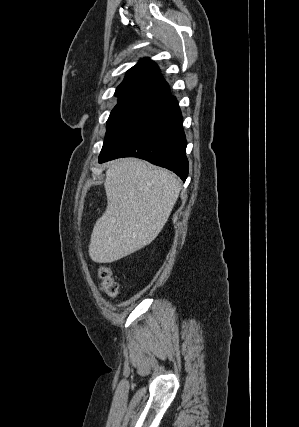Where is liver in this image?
I'll use <instances>...</instances> for the list:
<instances>
[{"label":"liver","mask_w":299,"mask_h":427,"mask_svg":"<svg viewBox=\"0 0 299 427\" xmlns=\"http://www.w3.org/2000/svg\"><path fill=\"white\" fill-rule=\"evenodd\" d=\"M104 187L107 208L89 244L97 263H112L150 244L166 224L181 183L168 170L125 158L109 165Z\"/></svg>","instance_id":"liver-1"}]
</instances>
